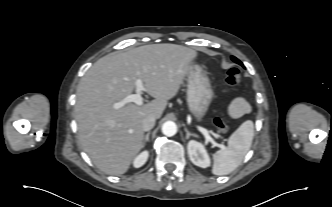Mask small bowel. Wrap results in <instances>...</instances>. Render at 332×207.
I'll return each instance as SVG.
<instances>
[{"instance_id":"small-bowel-1","label":"small bowel","mask_w":332,"mask_h":207,"mask_svg":"<svg viewBox=\"0 0 332 207\" xmlns=\"http://www.w3.org/2000/svg\"><path fill=\"white\" fill-rule=\"evenodd\" d=\"M249 111V105L243 98H236L229 107V113L232 117H240Z\"/></svg>"}]
</instances>
